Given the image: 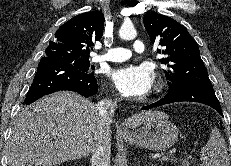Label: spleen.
I'll return each instance as SVG.
<instances>
[{"instance_id":"1","label":"spleen","mask_w":231,"mask_h":166,"mask_svg":"<svg viewBox=\"0 0 231 166\" xmlns=\"http://www.w3.org/2000/svg\"><path fill=\"white\" fill-rule=\"evenodd\" d=\"M200 159L204 166H230L227 145L218 129L211 130L209 140L201 150Z\"/></svg>"}]
</instances>
